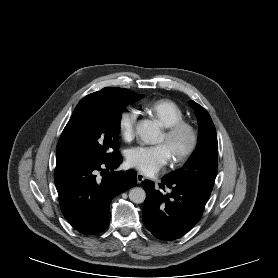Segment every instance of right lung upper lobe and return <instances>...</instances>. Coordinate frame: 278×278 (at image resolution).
Instances as JSON below:
<instances>
[{
  "label": "right lung upper lobe",
  "mask_w": 278,
  "mask_h": 278,
  "mask_svg": "<svg viewBox=\"0 0 278 278\" xmlns=\"http://www.w3.org/2000/svg\"><path fill=\"white\" fill-rule=\"evenodd\" d=\"M135 93L128 89L116 88V87H106L103 88L101 91L89 94L87 96H97L102 98L107 97H117V96H131Z\"/></svg>",
  "instance_id": "obj_1"
}]
</instances>
